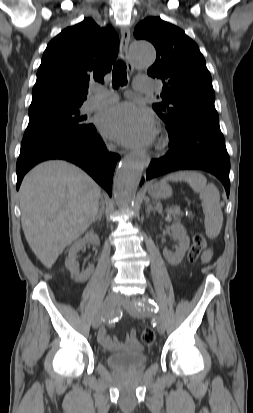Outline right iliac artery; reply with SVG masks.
<instances>
[{
  "label": "right iliac artery",
  "mask_w": 253,
  "mask_h": 413,
  "mask_svg": "<svg viewBox=\"0 0 253 413\" xmlns=\"http://www.w3.org/2000/svg\"><path fill=\"white\" fill-rule=\"evenodd\" d=\"M121 316H122V312L117 311V312L113 313L111 316L108 317V322L113 323V322L117 321Z\"/></svg>",
  "instance_id": "82829eb1"
}]
</instances>
